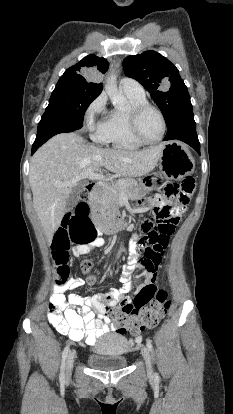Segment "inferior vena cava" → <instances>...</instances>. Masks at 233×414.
I'll list each match as a JSON object with an SVG mask.
<instances>
[{"label": "inferior vena cava", "instance_id": "602c4592", "mask_svg": "<svg viewBox=\"0 0 233 414\" xmlns=\"http://www.w3.org/2000/svg\"><path fill=\"white\" fill-rule=\"evenodd\" d=\"M108 243H109L108 245L110 246V245H111V244H110L111 242L109 241ZM107 255L109 256L110 254L108 253Z\"/></svg>", "mask_w": 233, "mask_h": 414}]
</instances>
